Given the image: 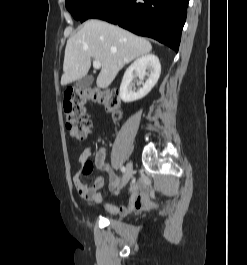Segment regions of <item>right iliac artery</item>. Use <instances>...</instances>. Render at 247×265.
<instances>
[{
    "label": "right iliac artery",
    "instance_id": "obj_1",
    "mask_svg": "<svg viewBox=\"0 0 247 265\" xmlns=\"http://www.w3.org/2000/svg\"><path fill=\"white\" fill-rule=\"evenodd\" d=\"M121 171L124 173L126 171V168L124 166L121 167Z\"/></svg>",
    "mask_w": 247,
    "mask_h": 265
}]
</instances>
